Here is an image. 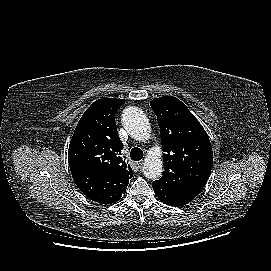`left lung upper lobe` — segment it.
Instances as JSON below:
<instances>
[{
  "mask_svg": "<svg viewBox=\"0 0 271 271\" xmlns=\"http://www.w3.org/2000/svg\"><path fill=\"white\" fill-rule=\"evenodd\" d=\"M150 105L160 127L164 174L179 172L204 187L213 164L212 147L204 128L173 96L153 99Z\"/></svg>",
  "mask_w": 271,
  "mask_h": 271,
  "instance_id": "obj_1",
  "label": "left lung upper lobe"
}]
</instances>
